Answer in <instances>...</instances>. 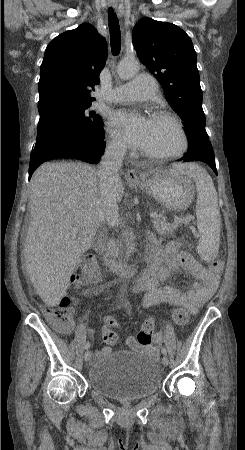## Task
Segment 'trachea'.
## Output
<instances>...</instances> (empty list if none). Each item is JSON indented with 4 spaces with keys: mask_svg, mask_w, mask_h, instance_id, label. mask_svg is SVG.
<instances>
[{
    "mask_svg": "<svg viewBox=\"0 0 245 450\" xmlns=\"http://www.w3.org/2000/svg\"><path fill=\"white\" fill-rule=\"evenodd\" d=\"M108 21L111 40V51L114 56L118 55L121 48V33L118 19L112 7L108 10Z\"/></svg>",
    "mask_w": 245,
    "mask_h": 450,
    "instance_id": "obj_1",
    "label": "trachea"
}]
</instances>
